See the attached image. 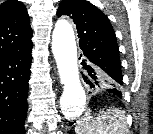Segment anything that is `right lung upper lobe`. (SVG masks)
Returning <instances> with one entry per match:
<instances>
[{
  "mask_svg": "<svg viewBox=\"0 0 153 134\" xmlns=\"http://www.w3.org/2000/svg\"><path fill=\"white\" fill-rule=\"evenodd\" d=\"M32 29L25 5L8 0L0 5V58L32 45Z\"/></svg>",
  "mask_w": 153,
  "mask_h": 134,
  "instance_id": "obj_1",
  "label": "right lung upper lobe"
}]
</instances>
